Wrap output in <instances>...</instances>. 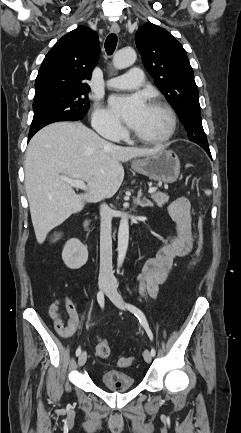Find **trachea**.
Instances as JSON below:
<instances>
[{
	"label": "trachea",
	"mask_w": 241,
	"mask_h": 433,
	"mask_svg": "<svg viewBox=\"0 0 241 433\" xmlns=\"http://www.w3.org/2000/svg\"><path fill=\"white\" fill-rule=\"evenodd\" d=\"M117 45V35L115 33H111L108 35L105 41V50L108 55H111Z\"/></svg>",
	"instance_id": "obj_1"
}]
</instances>
